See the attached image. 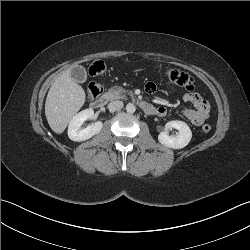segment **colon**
<instances>
[{
  "mask_svg": "<svg viewBox=\"0 0 250 250\" xmlns=\"http://www.w3.org/2000/svg\"><path fill=\"white\" fill-rule=\"evenodd\" d=\"M89 74L93 77H101L106 73V65L103 61H94L89 67ZM163 76L173 84L182 87L188 91H192L194 88L193 78L182 71L177 69H169L163 72ZM103 91V84L101 82H92L88 87V96L90 99H95L101 95ZM202 130L208 133L211 130L209 124H204Z\"/></svg>",
  "mask_w": 250,
  "mask_h": 250,
  "instance_id": "1",
  "label": "colon"
}]
</instances>
